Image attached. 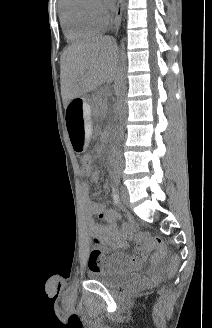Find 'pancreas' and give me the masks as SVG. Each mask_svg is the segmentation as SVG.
Returning <instances> with one entry per match:
<instances>
[{
  "label": "pancreas",
  "mask_w": 212,
  "mask_h": 328,
  "mask_svg": "<svg viewBox=\"0 0 212 328\" xmlns=\"http://www.w3.org/2000/svg\"><path fill=\"white\" fill-rule=\"evenodd\" d=\"M107 110V99L105 91H99L94 99V111L99 114H105Z\"/></svg>",
  "instance_id": "cf45deb5"
}]
</instances>
